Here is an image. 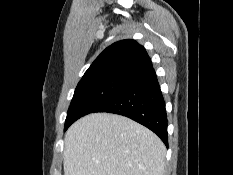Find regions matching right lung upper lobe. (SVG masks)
Returning <instances> with one entry per match:
<instances>
[{
    "label": "right lung upper lobe",
    "instance_id": "obj_1",
    "mask_svg": "<svg viewBox=\"0 0 233 175\" xmlns=\"http://www.w3.org/2000/svg\"><path fill=\"white\" fill-rule=\"evenodd\" d=\"M153 69L143 46L134 40L118 41L107 47L91 64L81 80L107 75L136 78Z\"/></svg>",
    "mask_w": 233,
    "mask_h": 175
}]
</instances>
